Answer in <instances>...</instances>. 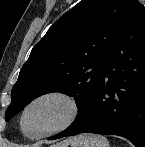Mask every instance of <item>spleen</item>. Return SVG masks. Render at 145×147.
Returning <instances> with one entry per match:
<instances>
[{
    "instance_id": "spleen-1",
    "label": "spleen",
    "mask_w": 145,
    "mask_h": 147,
    "mask_svg": "<svg viewBox=\"0 0 145 147\" xmlns=\"http://www.w3.org/2000/svg\"><path fill=\"white\" fill-rule=\"evenodd\" d=\"M73 147H109L107 138L96 134H83L76 138Z\"/></svg>"
}]
</instances>
